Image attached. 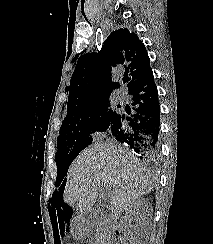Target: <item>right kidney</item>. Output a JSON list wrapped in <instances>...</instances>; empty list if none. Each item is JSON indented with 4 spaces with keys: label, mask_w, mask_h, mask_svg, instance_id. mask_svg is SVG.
Wrapping results in <instances>:
<instances>
[{
    "label": "right kidney",
    "mask_w": 213,
    "mask_h": 244,
    "mask_svg": "<svg viewBox=\"0 0 213 244\" xmlns=\"http://www.w3.org/2000/svg\"><path fill=\"white\" fill-rule=\"evenodd\" d=\"M149 207H150V203L148 202L147 199L145 198L138 199L137 201L134 202L131 209L128 210V212L124 217V220L126 222L129 221L132 216L138 215L140 209L149 208Z\"/></svg>",
    "instance_id": "1"
}]
</instances>
